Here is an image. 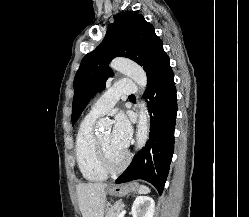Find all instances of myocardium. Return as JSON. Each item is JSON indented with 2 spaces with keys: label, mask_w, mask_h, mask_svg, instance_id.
I'll use <instances>...</instances> for the list:
<instances>
[{
  "label": "myocardium",
  "mask_w": 249,
  "mask_h": 217,
  "mask_svg": "<svg viewBox=\"0 0 249 217\" xmlns=\"http://www.w3.org/2000/svg\"><path fill=\"white\" fill-rule=\"evenodd\" d=\"M96 145L101 164L108 173H119L128 165L130 161V153L128 151L123 152V156L120 161L114 162L109 157V154L99 137L96 139Z\"/></svg>",
  "instance_id": "myocardium-1"
}]
</instances>
